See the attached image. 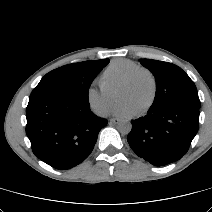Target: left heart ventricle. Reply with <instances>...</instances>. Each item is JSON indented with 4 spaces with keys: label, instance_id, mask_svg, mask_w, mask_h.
Instances as JSON below:
<instances>
[{
    "label": "left heart ventricle",
    "instance_id": "b2bd125f",
    "mask_svg": "<svg viewBox=\"0 0 212 212\" xmlns=\"http://www.w3.org/2000/svg\"><path fill=\"white\" fill-rule=\"evenodd\" d=\"M150 94L151 83L149 78L145 75H140L135 84L130 89L123 92L120 98L136 112L147 103Z\"/></svg>",
    "mask_w": 212,
    "mask_h": 212
}]
</instances>
